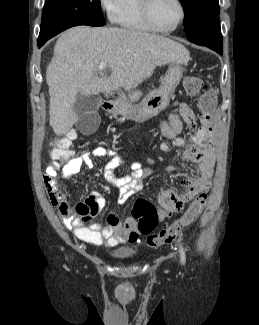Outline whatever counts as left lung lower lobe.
Listing matches in <instances>:
<instances>
[{
    "label": "left lung lower lobe",
    "mask_w": 259,
    "mask_h": 325,
    "mask_svg": "<svg viewBox=\"0 0 259 325\" xmlns=\"http://www.w3.org/2000/svg\"><path fill=\"white\" fill-rule=\"evenodd\" d=\"M198 45L207 46V47L215 50L220 55L223 54V44H222L221 33H219L214 39L199 42Z\"/></svg>",
    "instance_id": "obj_1"
}]
</instances>
